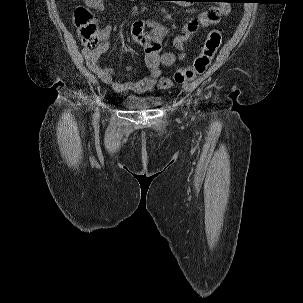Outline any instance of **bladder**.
Segmentation results:
<instances>
[{"label": "bladder", "mask_w": 303, "mask_h": 303, "mask_svg": "<svg viewBox=\"0 0 303 303\" xmlns=\"http://www.w3.org/2000/svg\"><path fill=\"white\" fill-rule=\"evenodd\" d=\"M161 104V98L154 95L141 96L130 94L123 99V107L126 110L138 111L148 110Z\"/></svg>", "instance_id": "bladder-1"}]
</instances>
